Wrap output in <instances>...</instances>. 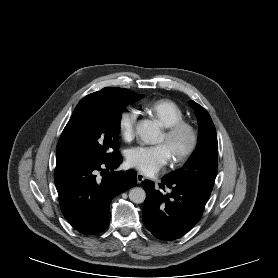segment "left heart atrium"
Wrapping results in <instances>:
<instances>
[{
  "label": "left heart atrium",
  "instance_id": "left-heart-atrium-1",
  "mask_svg": "<svg viewBox=\"0 0 278 278\" xmlns=\"http://www.w3.org/2000/svg\"><path fill=\"white\" fill-rule=\"evenodd\" d=\"M170 154L164 145L140 146L129 150L127 163L146 175L159 172L169 161Z\"/></svg>",
  "mask_w": 278,
  "mask_h": 278
}]
</instances>
